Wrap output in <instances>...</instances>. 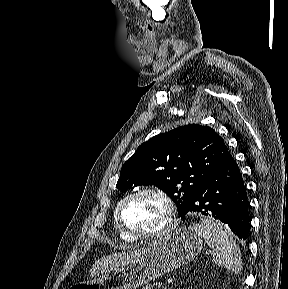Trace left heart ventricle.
Segmentation results:
<instances>
[{
    "label": "left heart ventricle",
    "instance_id": "b2bd125f",
    "mask_svg": "<svg viewBox=\"0 0 288 289\" xmlns=\"http://www.w3.org/2000/svg\"><path fill=\"white\" fill-rule=\"evenodd\" d=\"M167 208L158 197L145 194L136 198L125 210L124 222L139 233L154 232L166 224Z\"/></svg>",
    "mask_w": 288,
    "mask_h": 289
}]
</instances>
